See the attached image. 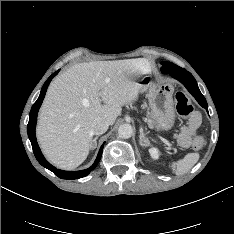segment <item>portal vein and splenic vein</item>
I'll use <instances>...</instances> for the list:
<instances>
[{
    "label": "portal vein and splenic vein",
    "mask_w": 234,
    "mask_h": 234,
    "mask_svg": "<svg viewBox=\"0 0 234 234\" xmlns=\"http://www.w3.org/2000/svg\"><path fill=\"white\" fill-rule=\"evenodd\" d=\"M162 141H163L167 146H169V147L172 146V144H171L169 141H167L166 139L162 138Z\"/></svg>",
    "instance_id": "portal-vein-and-splenic-vein-1"
}]
</instances>
